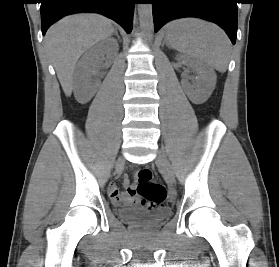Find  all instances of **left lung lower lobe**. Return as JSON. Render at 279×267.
Here are the masks:
<instances>
[{
	"label": "left lung lower lobe",
	"mask_w": 279,
	"mask_h": 267,
	"mask_svg": "<svg viewBox=\"0 0 279 267\" xmlns=\"http://www.w3.org/2000/svg\"><path fill=\"white\" fill-rule=\"evenodd\" d=\"M154 28L181 17H200L222 27L232 43L237 37L236 0H151Z\"/></svg>",
	"instance_id": "0a47b994"
}]
</instances>
